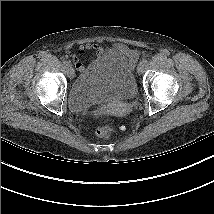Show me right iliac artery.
Masks as SVG:
<instances>
[{
  "label": "right iliac artery",
  "mask_w": 214,
  "mask_h": 214,
  "mask_svg": "<svg viewBox=\"0 0 214 214\" xmlns=\"http://www.w3.org/2000/svg\"><path fill=\"white\" fill-rule=\"evenodd\" d=\"M64 65H69V62L67 60H63Z\"/></svg>",
  "instance_id": "82829eb1"
}]
</instances>
